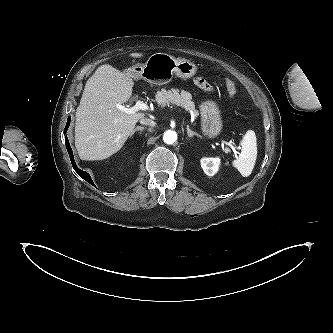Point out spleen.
Here are the masks:
<instances>
[{
    "instance_id": "spleen-1",
    "label": "spleen",
    "mask_w": 333,
    "mask_h": 333,
    "mask_svg": "<svg viewBox=\"0 0 333 333\" xmlns=\"http://www.w3.org/2000/svg\"><path fill=\"white\" fill-rule=\"evenodd\" d=\"M257 158L256 136L254 131L249 130L241 141V153L232 162V165L240 172L243 177H248L254 168Z\"/></svg>"
}]
</instances>
